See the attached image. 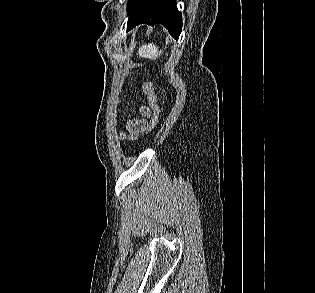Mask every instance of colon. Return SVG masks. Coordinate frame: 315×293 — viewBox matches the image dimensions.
<instances>
[{"label": "colon", "instance_id": "1", "mask_svg": "<svg viewBox=\"0 0 315 293\" xmlns=\"http://www.w3.org/2000/svg\"><path fill=\"white\" fill-rule=\"evenodd\" d=\"M143 92L147 96L149 107H150V117L148 120L147 132L151 131L154 127H159L160 122L158 117L160 115V106L157 105V97L154 89V85L151 81H146L143 86Z\"/></svg>", "mask_w": 315, "mask_h": 293}]
</instances>
